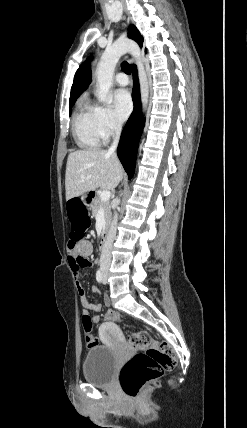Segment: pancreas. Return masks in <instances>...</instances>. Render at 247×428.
I'll return each instance as SVG.
<instances>
[{
    "mask_svg": "<svg viewBox=\"0 0 247 428\" xmlns=\"http://www.w3.org/2000/svg\"><path fill=\"white\" fill-rule=\"evenodd\" d=\"M92 213L95 216L100 208H103L105 213V220L109 221L111 217V205L109 201H102L100 195H97L91 205Z\"/></svg>",
    "mask_w": 247,
    "mask_h": 428,
    "instance_id": "1",
    "label": "pancreas"
}]
</instances>
